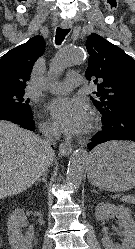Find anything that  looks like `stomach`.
<instances>
[{
	"mask_svg": "<svg viewBox=\"0 0 135 249\" xmlns=\"http://www.w3.org/2000/svg\"><path fill=\"white\" fill-rule=\"evenodd\" d=\"M88 177L93 185L108 191L135 187V143L112 141L98 146L89 158Z\"/></svg>",
	"mask_w": 135,
	"mask_h": 249,
	"instance_id": "1",
	"label": "stomach"
}]
</instances>
